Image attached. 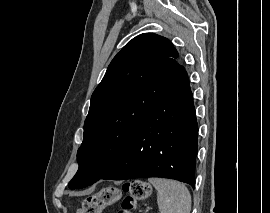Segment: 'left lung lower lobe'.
I'll return each mask as SVG.
<instances>
[{
	"label": "left lung lower lobe",
	"instance_id": "0a47b994",
	"mask_svg": "<svg viewBox=\"0 0 270 213\" xmlns=\"http://www.w3.org/2000/svg\"><path fill=\"white\" fill-rule=\"evenodd\" d=\"M198 124L184 72L149 115L102 179L163 177L195 186Z\"/></svg>",
	"mask_w": 270,
	"mask_h": 213
}]
</instances>
